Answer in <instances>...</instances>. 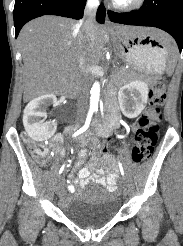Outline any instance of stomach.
<instances>
[{
  "label": "stomach",
  "mask_w": 183,
  "mask_h": 246,
  "mask_svg": "<svg viewBox=\"0 0 183 246\" xmlns=\"http://www.w3.org/2000/svg\"><path fill=\"white\" fill-rule=\"evenodd\" d=\"M113 35L124 59L137 70L144 73L164 71L168 57V44L143 30L122 33L117 29Z\"/></svg>",
  "instance_id": "1"
}]
</instances>
